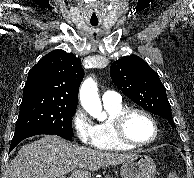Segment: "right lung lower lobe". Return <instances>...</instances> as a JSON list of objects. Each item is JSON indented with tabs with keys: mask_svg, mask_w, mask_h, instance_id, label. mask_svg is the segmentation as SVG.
<instances>
[{
	"mask_svg": "<svg viewBox=\"0 0 194 178\" xmlns=\"http://www.w3.org/2000/svg\"><path fill=\"white\" fill-rule=\"evenodd\" d=\"M39 134H54V133L51 132V131H48V130H43V129H27V130H22V131L15 132L14 137L11 141L9 152L11 150H13L14 147L19 142H21L23 139L34 136V135H39ZM60 137H63V138L68 139V140L72 139V137H68V136H60Z\"/></svg>",
	"mask_w": 194,
	"mask_h": 178,
	"instance_id": "obj_1",
	"label": "right lung lower lobe"
}]
</instances>
